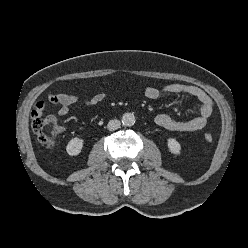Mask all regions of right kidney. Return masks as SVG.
<instances>
[{
    "label": "right kidney",
    "mask_w": 248,
    "mask_h": 248,
    "mask_svg": "<svg viewBox=\"0 0 248 248\" xmlns=\"http://www.w3.org/2000/svg\"><path fill=\"white\" fill-rule=\"evenodd\" d=\"M83 144V139L75 137L69 141L68 145L66 146V151L71 156L78 155L83 148Z\"/></svg>",
    "instance_id": "right-kidney-1"
}]
</instances>
